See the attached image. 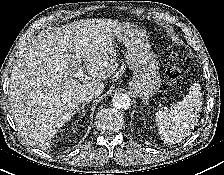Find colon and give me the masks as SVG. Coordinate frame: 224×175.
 Instances as JSON below:
<instances>
[{
	"label": "colon",
	"instance_id": "colon-1",
	"mask_svg": "<svg viewBox=\"0 0 224 175\" xmlns=\"http://www.w3.org/2000/svg\"><path fill=\"white\" fill-rule=\"evenodd\" d=\"M171 57L173 63L168 67L166 71V76L171 81H179L183 76L182 69L179 65L181 55L179 52L173 51Z\"/></svg>",
	"mask_w": 224,
	"mask_h": 175
}]
</instances>
